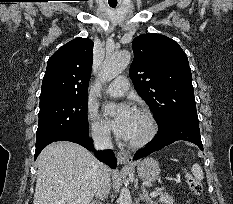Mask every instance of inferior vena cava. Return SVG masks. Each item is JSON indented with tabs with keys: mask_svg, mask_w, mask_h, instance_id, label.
<instances>
[{
	"mask_svg": "<svg viewBox=\"0 0 233 204\" xmlns=\"http://www.w3.org/2000/svg\"><path fill=\"white\" fill-rule=\"evenodd\" d=\"M94 147L96 150L112 149L113 145L108 131H98L93 134ZM110 179L107 175L99 185L96 197L103 200L110 192Z\"/></svg>",
	"mask_w": 233,
	"mask_h": 204,
	"instance_id": "1",
	"label": "inferior vena cava"
}]
</instances>
